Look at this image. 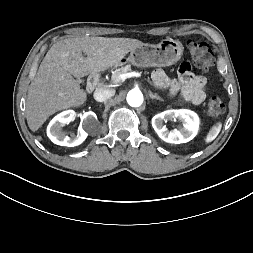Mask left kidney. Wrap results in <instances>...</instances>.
Here are the masks:
<instances>
[{
    "mask_svg": "<svg viewBox=\"0 0 253 253\" xmlns=\"http://www.w3.org/2000/svg\"><path fill=\"white\" fill-rule=\"evenodd\" d=\"M180 119L183 126L173 131H168L163 121ZM152 127L158 136L167 143H186L192 140L199 127V118L196 113L187 109L166 110L152 118Z\"/></svg>",
    "mask_w": 253,
    "mask_h": 253,
    "instance_id": "left-kidney-1",
    "label": "left kidney"
}]
</instances>
